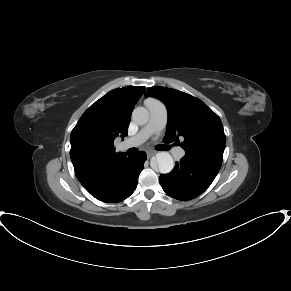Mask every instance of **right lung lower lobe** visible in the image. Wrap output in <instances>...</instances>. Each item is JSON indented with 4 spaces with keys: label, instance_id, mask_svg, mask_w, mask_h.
<instances>
[{
    "label": "right lung lower lobe",
    "instance_id": "1",
    "mask_svg": "<svg viewBox=\"0 0 291 291\" xmlns=\"http://www.w3.org/2000/svg\"><path fill=\"white\" fill-rule=\"evenodd\" d=\"M146 158L143 151L126 154L108 162L75 169V175L93 197L102 202L117 203L135 191Z\"/></svg>",
    "mask_w": 291,
    "mask_h": 291
}]
</instances>
